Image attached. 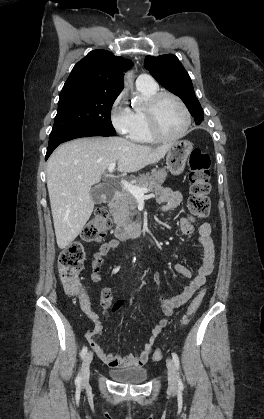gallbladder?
I'll use <instances>...</instances> for the list:
<instances>
[{"label":"gallbladder","instance_id":"bac80fb5","mask_svg":"<svg viewBox=\"0 0 264 419\" xmlns=\"http://www.w3.org/2000/svg\"><path fill=\"white\" fill-rule=\"evenodd\" d=\"M108 188L106 186H97L91 190V197L95 204H99L103 201V196L107 193Z\"/></svg>","mask_w":264,"mask_h":419}]
</instances>
